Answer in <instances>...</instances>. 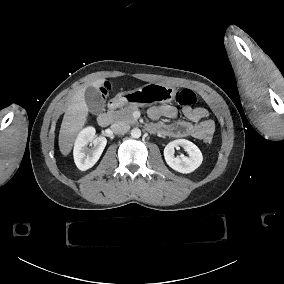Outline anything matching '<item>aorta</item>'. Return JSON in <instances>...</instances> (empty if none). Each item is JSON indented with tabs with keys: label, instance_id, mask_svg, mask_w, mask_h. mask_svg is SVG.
Here are the masks:
<instances>
[{
	"label": "aorta",
	"instance_id": "aorta-1",
	"mask_svg": "<svg viewBox=\"0 0 284 284\" xmlns=\"http://www.w3.org/2000/svg\"><path fill=\"white\" fill-rule=\"evenodd\" d=\"M131 136L133 138H139L141 136V130L139 128H137V127L133 128L131 130Z\"/></svg>",
	"mask_w": 284,
	"mask_h": 284
}]
</instances>
